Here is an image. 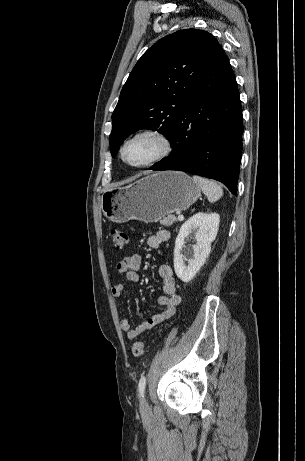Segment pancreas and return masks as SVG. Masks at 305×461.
Segmentation results:
<instances>
[{"label": "pancreas", "mask_w": 305, "mask_h": 461, "mask_svg": "<svg viewBox=\"0 0 305 461\" xmlns=\"http://www.w3.org/2000/svg\"><path fill=\"white\" fill-rule=\"evenodd\" d=\"M177 218L174 215H167L162 220H160V224L164 226H171Z\"/></svg>", "instance_id": "1"}]
</instances>
